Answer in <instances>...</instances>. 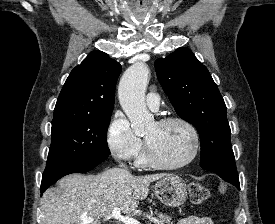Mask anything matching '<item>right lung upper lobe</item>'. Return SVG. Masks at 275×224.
<instances>
[{"instance_id": "obj_1", "label": "right lung upper lobe", "mask_w": 275, "mask_h": 224, "mask_svg": "<svg viewBox=\"0 0 275 224\" xmlns=\"http://www.w3.org/2000/svg\"><path fill=\"white\" fill-rule=\"evenodd\" d=\"M121 65L102 51H92L67 78L54 118L112 114Z\"/></svg>"}]
</instances>
